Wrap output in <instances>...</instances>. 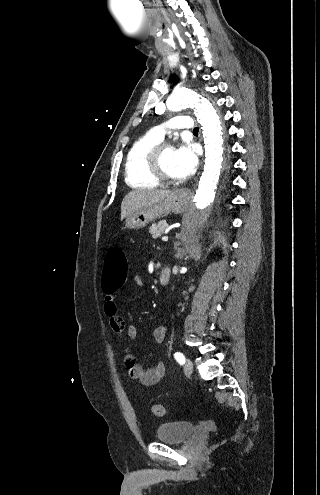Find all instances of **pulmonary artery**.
Listing matches in <instances>:
<instances>
[{
    "mask_svg": "<svg viewBox=\"0 0 320 495\" xmlns=\"http://www.w3.org/2000/svg\"><path fill=\"white\" fill-rule=\"evenodd\" d=\"M192 127L193 122L189 116H174L166 123L154 127L150 133L161 141L164 138V135L170 130H190Z\"/></svg>",
    "mask_w": 320,
    "mask_h": 495,
    "instance_id": "e3ab8cb5",
    "label": "pulmonary artery"
}]
</instances>
